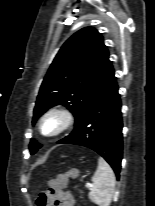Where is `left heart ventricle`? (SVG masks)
Here are the masks:
<instances>
[{"instance_id":"b2bd125f","label":"left heart ventricle","mask_w":155,"mask_h":206,"mask_svg":"<svg viewBox=\"0 0 155 206\" xmlns=\"http://www.w3.org/2000/svg\"><path fill=\"white\" fill-rule=\"evenodd\" d=\"M56 121L52 120V121H49L46 126H45V131L46 132H49L51 131L55 126H56Z\"/></svg>"}]
</instances>
